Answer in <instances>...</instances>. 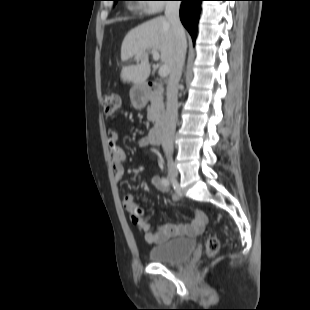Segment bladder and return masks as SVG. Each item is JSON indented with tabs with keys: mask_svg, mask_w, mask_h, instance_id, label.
<instances>
[{
	"mask_svg": "<svg viewBox=\"0 0 310 310\" xmlns=\"http://www.w3.org/2000/svg\"><path fill=\"white\" fill-rule=\"evenodd\" d=\"M196 242L191 238H174L161 245L151 247L148 251L149 260L153 263L180 264L193 255Z\"/></svg>",
	"mask_w": 310,
	"mask_h": 310,
	"instance_id": "obj_1",
	"label": "bladder"
}]
</instances>
